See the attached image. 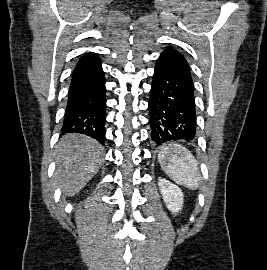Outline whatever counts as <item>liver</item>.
<instances>
[{"mask_svg": "<svg viewBox=\"0 0 267 270\" xmlns=\"http://www.w3.org/2000/svg\"><path fill=\"white\" fill-rule=\"evenodd\" d=\"M102 153L101 144L87 136L68 134L61 138L54 178L63 195H75L92 179L103 162Z\"/></svg>", "mask_w": 267, "mask_h": 270, "instance_id": "1", "label": "liver"}]
</instances>
